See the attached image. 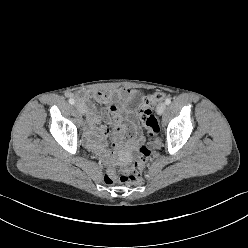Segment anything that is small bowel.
<instances>
[{
    "label": "small bowel",
    "instance_id": "obj_1",
    "mask_svg": "<svg viewBox=\"0 0 248 248\" xmlns=\"http://www.w3.org/2000/svg\"><path fill=\"white\" fill-rule=\"evenodd\" d=\"M135 94L133 89L118 88L106 92L87 90L76 95L87 111L84 137L90 150L106 156L116 155L123 158L143 141L135 119L127 116L119 106L120 102L131 99ZM92 100L104 107L97 108ZM99 121L104 124L97 126ZM109 136L112 139L111 148L107 143Z\"/></svg>",
    "mask_w": 248,
    "mask_h": 248
}]
</instances>
